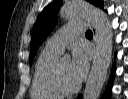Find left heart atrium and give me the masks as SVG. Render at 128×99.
Segmentation results:
<instances>
[{"instance_id":"1","label":"left heart atrium","mask_w":128,"mask_h":99,"mask_svg":"<svg viewBox=\"0 0 128 99\" xmlns=\"http://www.w3.org/2000/svg\"><path fill=\"white\" fill-rule=\"evenodd\" d=\"M70 67L74 79L78 83L81 82L85 78L89 67V60L86 53L81 49H75Z\"/></svg>"}]
</instances>
